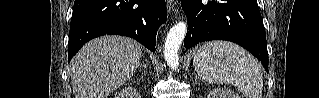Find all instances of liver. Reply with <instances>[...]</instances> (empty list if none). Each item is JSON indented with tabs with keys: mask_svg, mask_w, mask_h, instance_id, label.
Here are the masks:
<instances>
[{
	"mask_svg": "<svg viewBox=\"0 0 319 98\" xmlns=\"http://www.w3.org/2000/svg\"><path fill=\"white\" fill-rule=\"evenodd\" d=\"M141 54L140 44L127 37L103 36L88 42L71 61L75 98H107L133 76Z\"/></svg>",
	"mask_w": 319,
	"mask_h": 98,
	"instance_id": "liver-1",
	"label": "liver"
}]
</instances>
